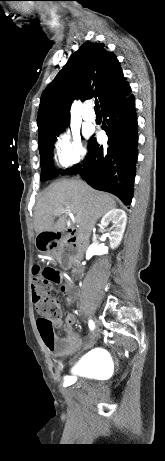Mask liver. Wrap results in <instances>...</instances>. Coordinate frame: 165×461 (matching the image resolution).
<instances>
[{"mask_svg":"<svg viewBox=\"0 0 165 461\" xmlns=\"http://www.w3.org/2000/svg\"><path fill=\"white\" fill-rule=\"evenodd\" d=\"M115 207L113 197L92 189L84 182L61 180L51 184L37 202L34 229L37 234L64 232L66 215L71 213L78 225L77 238L87 242L96 222ZM56 216L59 219L54 223Z\"/></svg>","mask_w":165,"mask_h":461,"instance_id":"6515ba94","label":"liver"}]
</instances>
